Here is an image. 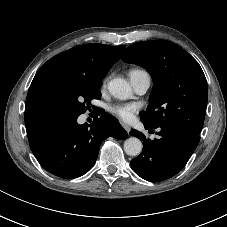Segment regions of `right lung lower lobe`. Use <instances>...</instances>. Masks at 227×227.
<instances>
[{"instance_id":"right-lung-lower-lobe-1","label":"right lung lower lobe","mask_w":227,"mask_h":227,"mask_svg":"<svg viewBox=\"0 0 227 227\" xmlns=\"http://www.w3.org/2000/svg\"><path fill=\"white\" fill-rule=\"evenodd\" d=\"M100 110L90 125H79L78 116L59 119L30 138V148L40 165L60 178H77L93 167L106 138H127L118 120Z\"/></svg>"}]
</instances>
